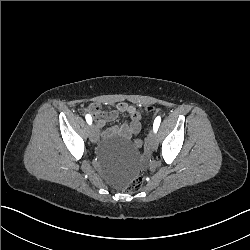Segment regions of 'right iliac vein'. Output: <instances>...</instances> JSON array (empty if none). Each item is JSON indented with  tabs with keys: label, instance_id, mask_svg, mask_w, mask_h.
Returning a JSON list of instances; mask_svg holds the SVG:
<instances>
[{
	"label": "right iliac vein",
	"instance_id": "1",
	"mask_svg": "<svg viewBox=\"0 0 250 250\" xmlns=\"http://www.w3.org/2000/svg\"><path fill=\"white\" fill-rule=\"evenodd\" d=\"M89 138L93 143H96L98 140V132L95 125L89 127Z\"/></svg>",
	"mask_w": 250,
	"mask_h": 250
}]
</instances>
